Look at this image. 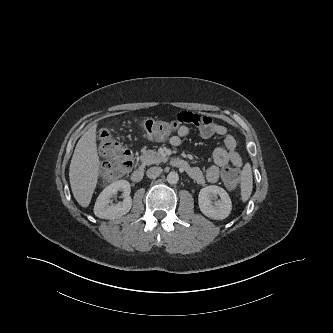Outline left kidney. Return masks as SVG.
Masks as SVG:
<instances>
[{
    "label": "left kidney",
    "instance_id": "left-kidney-1",
    "mask_svg": "<svg viewBox=\"0 0 333 333\" xmlns=\"http://www.w3.org/2000/svg\"><path fill=\"white\" fill-rule=\"evenodd\" d=\"M198 204L201 212L214 220L227 218L232 210V202L228 193L216 185H210L200 190Z\"/></svg>",
    "mask_w": 333,
    "mask_h": 333
}]
</instances>
